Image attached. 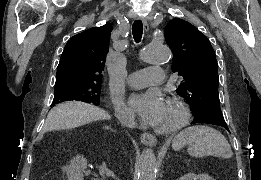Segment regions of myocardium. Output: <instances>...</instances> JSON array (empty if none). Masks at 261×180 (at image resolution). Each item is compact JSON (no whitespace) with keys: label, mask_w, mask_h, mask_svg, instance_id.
Listing matches in <instances>:
<instances>
[{"label":"myocardium","mask_w":261,"mask_h":180,"mask_svg":"<svg viewBox=\"0 0 261 180\" xmlns=\"http://www.w3.org/2000/svg\"><path fill=\"white\" fill-rule=\"evenodd\" d=\"M167 100L176 106L177 116L175 117L173 123L166 128H158L152 124L150 125V132H152L157 137L168 138L177 136L184 129L189 118L187 103L181 97L175 94H169Z\"/></svg>","instance_id":"f54148a6"}]
</instances>
